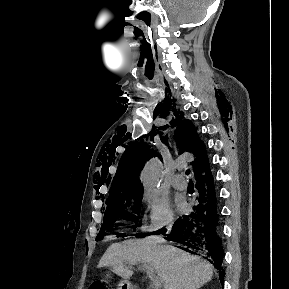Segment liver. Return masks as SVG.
Returning a JSON list of instances; mask_svg holds the SVG:
<instances>
[{"label":"liver","mask_w":289,"mask_h":289,"mask_svg":"<svg viewBox=\"0 0 289 289\" xmlns=\"http://www.w3.org/2000/svg\"><path fill=\"white\" fill-rule=\"evenodd\" d=\"M142 262L153 268L164 289H199L212 279L213 266L198 256L153 238L113 243L99 261V267H111L118 276L129 279L132 266Z\"/></svg>","instance_id":"1"}]
</instances>
